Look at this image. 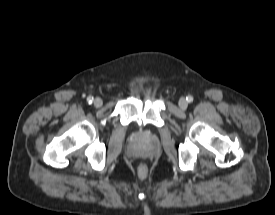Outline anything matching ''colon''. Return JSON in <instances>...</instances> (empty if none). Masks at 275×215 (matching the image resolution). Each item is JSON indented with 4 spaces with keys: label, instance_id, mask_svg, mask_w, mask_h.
I'll use <instances>...</instances> for the list:
<instances>
[{
    "label": "colon",
    "instance_id": "5ec220e1",
    "mask_svg": "<svg viewBox=\"0 0 275 215\" xmlns=\"http://www.w3.org/2000/svg\"><path fill=\"white\" fill-rule=\"evenodd\" d=\"M148 173V167L145 164H140L137 168V174L139 177H144Z\"/></svg>",
    "mask_w": 275,
    "mask_h": 215
}]
</instances>
